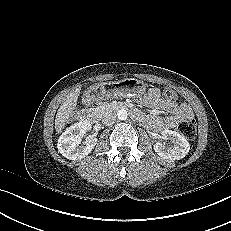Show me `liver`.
<instances>
[{
	"label": "liver",
	"mask_w": 231,
	"mask_h": 231,
	"mask_svg": "<svg viewBox=\"0 0 231 231\" xmlns=\"http://www.w3.org/2000/svg\"><path fill=\"white\" fill-rule=\"evenodd\" d=\"M79 90L73 91L66 96L63 103L59 107L55 117V130L61 133L65 124L68 123L70 116L73 113L78 101Z\"/></svg>",
	"instance_id": "liver-1"
}]
</instances>
